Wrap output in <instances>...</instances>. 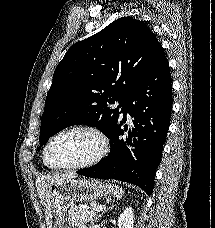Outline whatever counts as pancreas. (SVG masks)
<instances>
[{
	"label": "pancreas",
	"mask_w": 215,
	"mask_h": 228,
	"mask_svg": "<svg viewBox=\"0 0 215 228\" xmlns=\"http://www.w3.org/2000/svg\"><path fill=\"white\" fill-rule=\"evenodd\" d=\"M98 218V212L93 210H79L78 206H71L68 212V224L70 228H83L88 222H94Z\"/></svg>",
	"instance_id": "cf45deb5"
}]
</instances>
